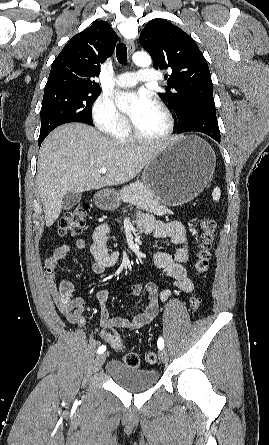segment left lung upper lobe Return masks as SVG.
<instances>
[{"instance_id":"5c2ea615","label":"left lung upper lobe","mask_w":269,"mask_h":445,"mask_svg":"<svg viewBox=\"0 0 269 445\" xmlns=\"http://www.w3.org/2000/svg\"><path fill=\"white\" fill-rule=\"evenodd\" d=\"M156 69L168 70L166 93L159 95L172 107L178 126L197 111H216L213 85L206 59L194 40L169 21H149L140 37Z\"/></svg>"}]
</instances>
